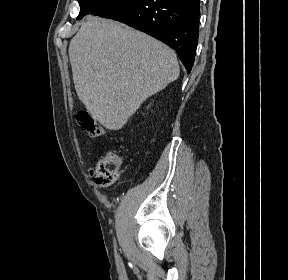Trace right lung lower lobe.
I'll use <instances>...</instances> for the list:
<instances>
[{"instance_id":"1","label":"right lung lower lobe","mask_w":288,"mask_h":280,"mask_svg":"<svg viewBox=\"0 0 288 280\" xmlns=\"http://www.w3.org/2000/svg\"><path fill=\"white\" fill-rule=\"evenodd\" d=\"M200 0H110L91 15L123 22L173 48L190 73L199 35Z\"/></svg>"}]
</instances>
